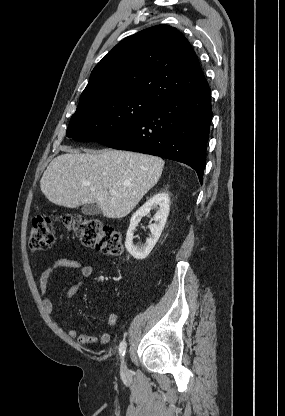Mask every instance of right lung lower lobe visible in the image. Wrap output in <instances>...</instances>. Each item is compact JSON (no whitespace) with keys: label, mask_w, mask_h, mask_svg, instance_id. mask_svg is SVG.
Here are the masks:
<instances>
[{"label":"right lung lower lobe","mask_w":285,"mask_h":416,"mask_svg":"<svg viewBox=\"0 0 285 416\" xmlns=\"http://www.w3.org/2000/svg\"><path fill=\"white\" fill-rule=\"evenodd\" d=\"M211 120L208 85L156 107L131 126L97 142L185 163L202 183Z\"/></svg>","instance_id":"98d812e1"}]
</instances>
